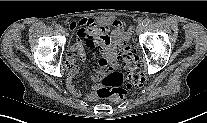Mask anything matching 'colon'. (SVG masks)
Returning a JSON list of instances; mask_svg holds the SVG:
<instances>
[{"label": "colon", "mask_w": 207, "mask_h": 123, "mask_svg": "<svg viewBox=\"0 0 207 123\" xmlns=\"http://www.w3.org/2000/svg\"><path fill=\"white\" fill-rule=\"evenodd\" d=\"M106 66L108 72L101 77L97 89V95L101 99L121 101L126 97L128 89L140 86L144 82L137 57L127 42L122 43L119 63L115 66Z\"/></svg>", "instance_id": "colon-1"}]
</instances>
